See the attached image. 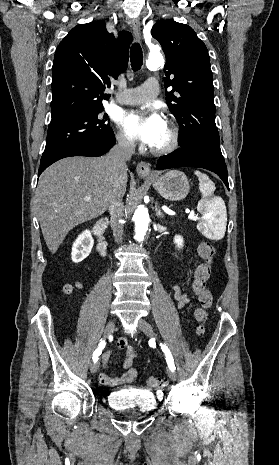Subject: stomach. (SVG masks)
<instances>
[{
    "mask_svg": "<svg viewBox=\"0 0 279 465\" xmlns=\"http://www.w3.org/2000/svg\"><path fill=\"white\" fill-rule=\"evenodd\" d=\"M144 178L151 181L154 188L165 199L179 201L184 199L189 193V181L181 171L171 170L159 177Z\"/></svg>",
    "mask_w": 279,
    "mask_h": 465,
    "instance_id": "stomach-1",
    "label": "stomach"
}]
</instances>
